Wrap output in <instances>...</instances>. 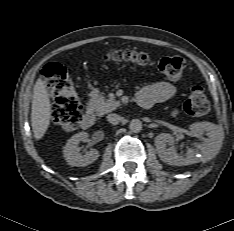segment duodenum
I'll use <instances>...</instances> for the list:
<instances>
[{
    "instance_id": "obj_1",
    "label": "duodenum",
    "mask_w": 234,
    "mask_h": 231,
    "mask_svg": "<svg viewBox=\"0 0 234 231\" xmlns=\"http://www.w3.org/2000/svg\"><path fill=\"white\" fill-rule=\"evenodd\" d=\"M137 102L139 105L141 104L138 100ZM143 108H148V107H143ZM94 123H95V115L93 111L92 110L86 111L81 120L82 127L85 129H89L94 125Z\"/></svg>"
}]
</instances>
